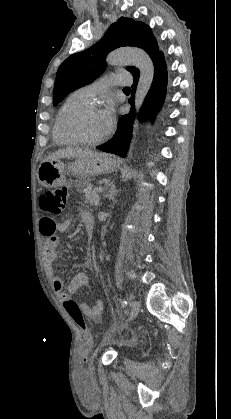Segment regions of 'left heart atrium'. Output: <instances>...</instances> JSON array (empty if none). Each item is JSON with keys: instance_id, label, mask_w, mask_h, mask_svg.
Instances as JSON below:
<instances>
[{"instance_id": "obj_1", "label": "left heart atrium", "mask_w": 231, "mask_h": 419, "mask_svg": "<svg viewBox=\"0 0 231 419\" xmlns=\"http://www.w3.org/2000/svg\"><path fill=\"white\" fill-rule=\"evenodd\" d=\"M101 115L105 121L107 129H110L113 122H114V116L115 111L112 103H108L102 110Z\"/></svg>"}]
</instances>
